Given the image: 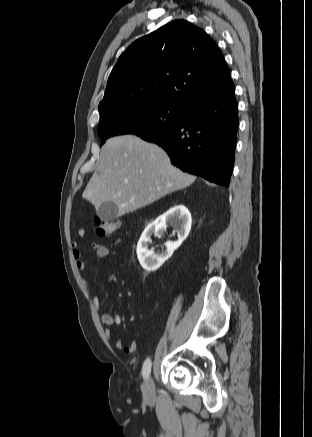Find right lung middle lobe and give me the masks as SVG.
Returning <instances> with one entry per match:
<instances>
[{
  "label": "right lung middle lobe",
  "instance_id": "obj_1",
  "mask_svg": "<svg viewBox=\"0 0 312 437\" xmlns=\"http://www.w3.org/2000/svg\"><path fill=\"white\" fill-rule=\"evenodd\" d=\"M184 108L160 102L133 103L100 117L98 134L102 143L111 136L135 134L141 138L158 135L178 124Z\"/></svg>",
  "mask_w": 312,
  "mask_h": 437
}]
</instances>
